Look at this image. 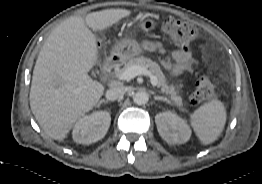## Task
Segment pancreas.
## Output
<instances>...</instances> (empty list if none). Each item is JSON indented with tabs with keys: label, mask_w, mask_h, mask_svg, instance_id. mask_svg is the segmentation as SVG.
Wrapping results in <instances>:
<instances>
[{
	"label": "pancreas",
	"mask_w": 262,
	"mask_h": 184,
	"mask_svg": "<svg viewBox=\"0 0 262 184\" xmlns=\"http://www.w3.org/2000/svg\"><path fill=\"white\" fill-rule=\"evenodd\" d=\"M133 65H140L148 69L149 72L157 78L158 86L161 87V91L168 95L171 101L174 102L177 106L182 105V98L178 95V92L175 89V87L167 83L165 74L162 72L160 66L149 58L140 56L137 58L130 59L122 69L116 70L115 74L118 76L127 68Z\"/></svg>",
	"instance_id": "cf45deb5"
}]
</instances>
